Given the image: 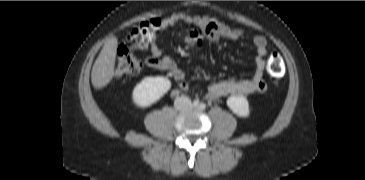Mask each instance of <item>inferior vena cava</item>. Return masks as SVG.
<instances>
[{
    "mask_svg": "<svg viewBox=\"0 0 365 180\" xmlns=\"http://www.w3.org/2000/svg\"><path fill=\"white\" fill-rule=\"evenodd\" d=\"M191 105V100L185 96L178 97L174 101V106L178 110L188 109Z\"/></svg>",
    "mask_w": 365,
    "mask_h": 180,
    "instance_id": "inferior-vena-cava-1",
    "label": "inferior vena cava"
}]
</instances>
